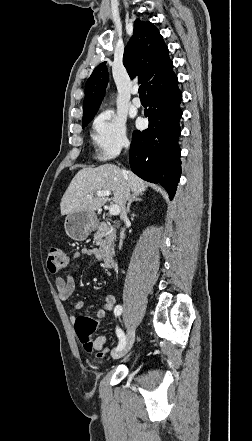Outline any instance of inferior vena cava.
<instances>
[{"mask_svg": "<svg viewBox=\"0 0 252 441\" xmlns=\"http://www.w3.org/2000/svg\"><path fill=\"white\" fill-rule=\"evenodd\" d=\"M129 197H130V193H129L128 190H126L125 193H124L123 204H122V207H121V215H120L121 219L123 221H125V222L127 221V214H126V210H125V203H126L127 200H129ZM124 238H125V233H124V229H123L121 231V233H120V246L122 245Z\"/></svg>", "mask_w": 252, "mask_h": 441, "instance_id": "602c4592", "label": "inferior vena cava"}]
</instances>
